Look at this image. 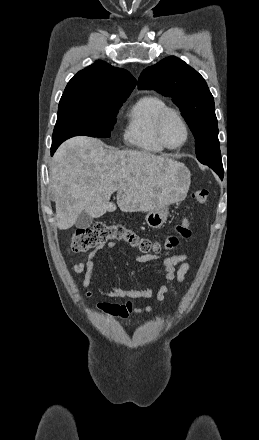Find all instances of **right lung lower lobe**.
Returning <instances> with one entry per match:
<instances>
[{
    "mask_svg": "<svg viewBox=\"0 0 259 440\" xmlns=\"http://www.w3.org/2000/svg\"><path fill=\"white\" fill-rule=\"evenodd\" d=\"M60 144H61V143H54V142H52L51 155H53V153L55 152V150L58 148V146H59Z\"/></svg>",
    "mask_w": 259,
    "mask_h": 440,
    "instance_id": "1",
    "label": "right lung lower lobe"
}]
</instances>
